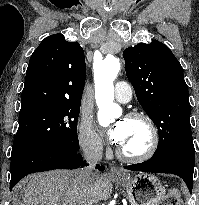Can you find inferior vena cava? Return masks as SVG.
I'll return each mask as SVG.
<instances>
[{"label":"inferior vena cava","mask_w":199,"mask_h":205,"mask_svg":"<svg viewBox=\"0 0 199 205\" xmlns=\"http://www.w3.org/2000/svg\"><path fill=\"white\" fill-rule=\"evenodd\" d=\"M102 151L103 147L99 142H93L83 149L84 157L90 165L80 171V177L91 189L96 184L98 176L93 172V166L102 159Z\"/></svg>","instance_id":"inferior-vena-cava-1"}]
</instances>
